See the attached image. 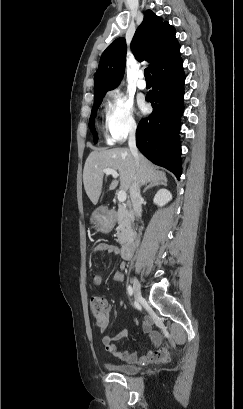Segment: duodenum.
<instances>
[{"label":"duodenum","mask_w":243,"mask_h":409,"mask_svg":"<svg viewBox=\"0 0 243 409\" xmlns=\"http://www.w3.org/2000/svg\"><path fill=\"white\" fill-rule=\"evenodd\" d=\"M110 214H113V212L110 211ZM134 249H135V243L134 242L122 245L121 251H120L121 256L124 259H130L132 257V255H133Z\"/></svg>","instance_id":"410a0bca"}]
</instances>
